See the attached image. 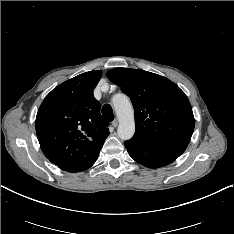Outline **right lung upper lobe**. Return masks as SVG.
I'll list each match as a JSON object with an SVG mask.
<instances>
[{
  "instance_id": "right-lung-upper-lobe-1",
  "label": "right lung upper lobe",
  "mask_w": 234,
  "mask_h": 234,
  "mask_svg": "<svg viewBox=\"0 0 234 234\" xmlns=\"http://www.w3.org/2000/svg\"><path fill=\"white\" fill-rule=\"evenodd\" d=\"M101 71H90L53 89L36 116V133L44 155L59 167L75 164L102 147L109 123L100 114L93 90Z\"/></svg>"
}]
</instances>
